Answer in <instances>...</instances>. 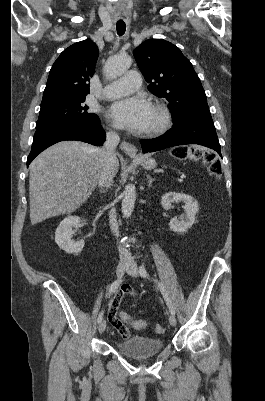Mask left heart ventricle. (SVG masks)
Masks as SVG:
<instances>
[{
  "instance_id": "obj_1",
  "label": "left heart ventricle",
  "mask_w": 265,
  "mask_h": 401,
  "mask_svg": "<svg viewBox=\"0 0 265 401\" xmlns=\"http://www.w3.org/2000/svg\"><path fill=\"white\" fill-rule=\"evenodd\" d=\"M157 120H158V114L156 110L152 108L145 129H150L151 127H153L157 123Z\"/></svg>"
}]
</instances>
